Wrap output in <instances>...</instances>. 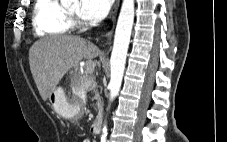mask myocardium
I'll use <instances>...</instances> for the list:
<instances>
[{"label": "myocardium", "mask_w": 227, "mask_h": 142, "mask_svg": "<svg viewBox=\"0 0 227 142\" xmlns=\"http://www.w3.org/2000/svg\"><path fill=\"white\" fill-rule=\"evenodd\" d=\"M65 15L68 19V21L72 24V26H82L84 25V21L81 19L79 14L73 13L69 11L68 9H64Z\"/></svg>", "instance_id": "obj_1"}]
</instances>
